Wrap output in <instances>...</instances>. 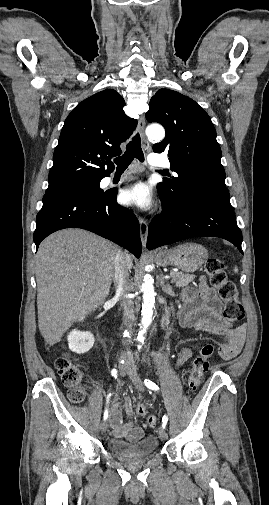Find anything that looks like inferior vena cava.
Wrapping results in <instances>:
<instances>
[{
	"mask_svg": "<svg viewBox=\"0 0 269 505\" xmlns=\"http://www.w3.org/2000/svg\"><path fill=\"white\" fill-rule=\"evenodd\" d=\"M128 264L124 252L119 250L114 258V284L116 293L119 295H127L130 287L128 284ZM124 325L128 328L132 327L134 321V303L130 298H124L122 302ZM124 345H128L129 341L125 340Z\"/></svg>",
	"mask_w": 269,
	"mask_h": 505,
	"instance_id": "obj_1",
	"label": "inferior vena cava"
}]
</instances>
